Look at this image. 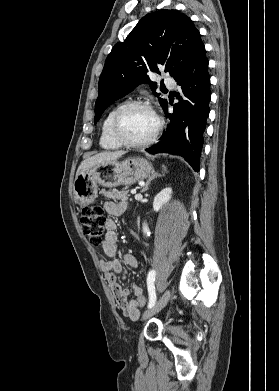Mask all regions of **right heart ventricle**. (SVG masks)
<instances>
[{
    "label": "right heart ventricle",
    "mask_w": 279,
    "mask_h": 391,
    "mask_svg": "<svg viewBox=\"0 0 279 391\" xmlns=\"http://www.w3.org/2000/svg\"><path fill=\"white\" fill-rule=\"evenodd\" d=\"M120 106L121 105L119 104L111 108L102 121L101 133H100V146L105 150H118L123 147V145L117 142L111 134L112 119L115 112Z\"/></svg>",
    "instance_id": "right-heart-ventricle-1"
}]
</instances>
